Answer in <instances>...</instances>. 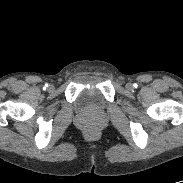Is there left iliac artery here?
Wrapping results in <instances>:
<instances>
[{"mask_svg": "<svg viewBox=\"0 0 183 183\" xmlns=\"http://www.w3.org/2000/svg\"><path fill=\"white\" fill-rule=\"evenodd\" d=\"M133 86H134L135 88H137L138 85H137V84H134Z\"/></svg>", "mask_w": 183, "mask_h": 183, "instance_id": "left-iliac-artery-1", "label": "left iliac artery"}]
</instances>
